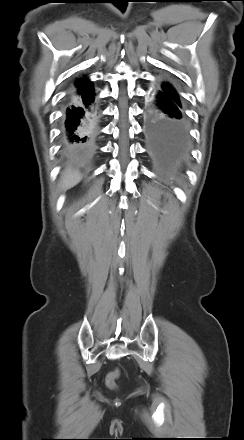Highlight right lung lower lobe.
<instances>
[{"instance_id":"1","label":"right lung lower lobe","mask_w":244,"mask_h":440,"mask_svg":"<svg viewBox=\"0 0 244 440\" xmlns=\"http://www.w3.org/2000/svg\"><path fill=\"white\" fill-rule=\"evenodd\" d=\"M98 111L94 96L79 98L70 93L62 120V144L68 151L80 149L97 134Z\"/></svg>"}]
</instances>
